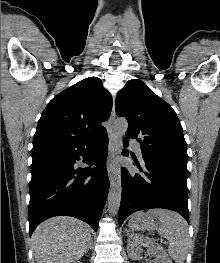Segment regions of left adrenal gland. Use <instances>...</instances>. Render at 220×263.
Returning <instances> with one entry per match:
<instances>
[{"label": "left adrenal gland", "mask_w": 220, "mask_h": 263, "mask_svg": "<svg viewBox=\"0 0 220 263\" xmlns=\"http://www.w3.org/2000/svg\"><path fill=\"white\" fill-rule=\"evenodd\" d=\"M127 236H129V230L125 229Z\"/></svg>", "instance_id": "obj_1"}]
</instances>
